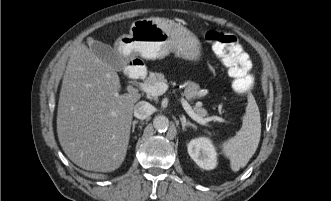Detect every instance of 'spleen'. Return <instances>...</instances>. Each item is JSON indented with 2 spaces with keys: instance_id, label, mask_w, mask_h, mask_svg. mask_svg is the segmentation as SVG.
<instances>
[{
  "instance_id": "3e777b00",
  "label": "spleen",
  "mask_w": 331,
  "mask_h": 201,
  "mask_svg": "<svg viewBox=\"0 0 331 201\" xmlns=\"http://www.w3.org/2000/svg\"><path fill=\"white\" fill-rule=\"evenodd\" d=\"M260 135V112L255 99L250 96L241 129L222 144V152L229 158L232 171L237 172L247 165L258 147Z\"/></svg>"
}]
</instances>
